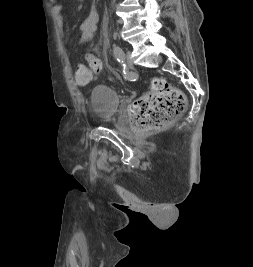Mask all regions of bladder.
<instances>
[{
  "label": "bladder",
  "instance_id": "bladder-1",
  "mask_svg": "<svg viewBox=\"0 0 253 267\" xmlns=\"http://www.w3.org/2000/svg\"><path fill=\"white\" fill-rule=\"evenodd\" d=\"M119 103V95L107 85H97L90 92V112L99 122L111 121L117 113Z\"/></svg>",
  "mask_w": 253,
  "mask_h": 267
}]
</instances>
